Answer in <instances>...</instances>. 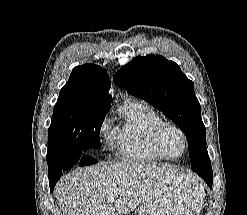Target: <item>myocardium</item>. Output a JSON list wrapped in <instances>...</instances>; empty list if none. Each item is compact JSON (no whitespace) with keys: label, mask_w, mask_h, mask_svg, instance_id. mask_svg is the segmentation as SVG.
I'll return each instance as SVG.
<instances>
[{"label":"myocardium","mask_w":247,"mask_h":215,"mask_svg":"<svg viewBox=\"0 0 247 215\" xmlns=\"http://www.w3.org/2000/svg\"><path fill=\"white\" fill-rule=\"evenodd\" d=\"M169 129H173L176 132H178V134L182 138L183 149H182V152L178 155L169 154L166 150L165 143H164V137H165V133ZM152 137H153V143H154L155 150L160 156H162L165 159H168V160L179 159L184 156V154L186 153L188 149V140H187L186 133L178 124L174 122L162 121L153 130Z\"/></svg>","instance_id":"f54148a6"}]
</instances>
